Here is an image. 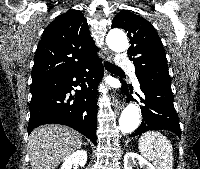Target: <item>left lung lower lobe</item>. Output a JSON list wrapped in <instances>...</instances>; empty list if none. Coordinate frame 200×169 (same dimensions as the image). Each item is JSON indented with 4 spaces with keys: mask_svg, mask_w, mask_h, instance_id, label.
<instances>
[{
    "mask_svg": "<svg viewBox=\"0 0 200 169\" xmlns=\"http://www.w3.org/2000/svg\"><path fill=\"white\" fill-rule=\"evenodd\" d=\"M140 89L145 95L141 99L143 119L141 125L131 134V137L140 135L149 130H169L181 137L179 117L173 105V94L169 83L156 82L142 78L138 80ZM122 90L127 94L128 89L133 92L132 85L122 81ZM135 100L131 94L127 101Z\"/></svg>",
    "mask_w": 200,
    "mask_h": 169,
    "instance_id": "left-lung-lower-lobe-1",
    "label": "left lung lower lobe"
}]
</instances>
